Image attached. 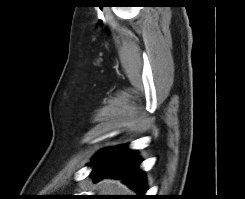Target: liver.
<instances>
[{"mask_svg":"<svg viewBox=\"0 0 245 199\" xmlns=\"http://www.w3.org/2000/svg\"><path fill=\"white\" fill-rule=\"evenodd\" d=\"M98 191L101 195H127L130 190L119 180L105 179L98 183Z\"/></svg>","mask_w":245,"mask_h":199,"instance_id":"liver-1","label":"liver"}]
</instances>
